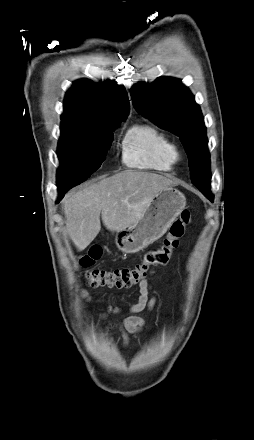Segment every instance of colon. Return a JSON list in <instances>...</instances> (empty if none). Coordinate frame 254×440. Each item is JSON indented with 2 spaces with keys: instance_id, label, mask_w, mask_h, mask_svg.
Instances as JSON below:
<instances>
[{
  "instance_id": "colon-1",
  "label": "colon",
  "mask_w": 254,
  "mask_h": 440,
  "mask_svg": "<svg viewBox=\"0 0 254 440\" xmlns=\"http://www.w3.org/2000/svg\"><path fill=\"white\" fill-rule=\"evenodd\" d=\"M190 220V211H182L179 218L171 224L162 246L147 253L143 260L134 266L87 270L85 278L89 286L93 288L129 287L143 279L150 267L167 264L174 250L178 247L179 240L183 236L185 227L190 223ZM101 254L102 250L100 247H92L81 256L80 264L83 267H89L101 257Z\"/></svg>"
}]
</instances>
